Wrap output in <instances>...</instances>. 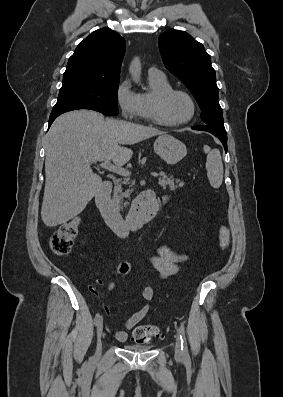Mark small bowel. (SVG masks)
Here are the masks:
<instances>
[{"label":"small bowel","mask_w":283,"mask_h":397,"mask_svg":"<svg viewBox=\"0 0 283 397\" xmlns=\"http://www.w3.org/2000/svg\"><path fill=\"white\" fill-rule=\"evenodd\" d=\"M155 198L160 206L168 202L167 197L158 198L155 196ZM186 259H187L186 255L180 254L169 247L162 246L157 250V253L151 257V262L154 268L160 274V276L168 277L173 274H176L179 271L180 264L184 262ZM130 271H131V264L128 261L121 262L117 266L114 272L113 279L110 282L109 285L110 290H113L115 288L117 279L119 277L129 274ZM96 283L101 284V281L97 280ZM92 291L94 294L98 295L97 289H93ZM139 292L142 298L144 299L145 303L139 310H137L127 319L125 324L128 329L133 328L135 325H137L145 318V316L149 312V308H150L149 303L155 297V290L150 286H144L139 288ZM104 309L108 314L110 313L109 308L107 306H104ZM113 335L118 342H125L128 338L127 332L123 330H117L113 333Z\"/></svg>","instance_id":"1"}]
</instances>
